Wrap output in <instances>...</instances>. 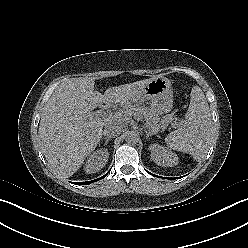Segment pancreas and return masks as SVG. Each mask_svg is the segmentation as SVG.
<instances>
[{
    "instance_id": "pancreas-1",
    "label": "pancreas",
    "mask_w": 248,
    "mask_h": 248,
    "mask_svg": "<svg viewBox=\"0 0 248 248\" xmlns=\"http://www.w3.org/2000/svg\"><path fill=\"white\" fill-rule=\"evenodd\" d=\"M123 113L126 116H134L135 118L144 119L145 126L149 129L158 132L165 129V124L160 121V117L146 107L135 105L126 106L123 108Z\"/></svg>"
}]
</instances>
